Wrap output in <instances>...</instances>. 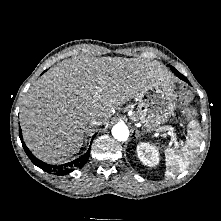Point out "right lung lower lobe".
Masks as SVG:
<instances>
[{
    "instance_id": "98d812e1",
    "label": "right lung lower lobe",
    "mask_w": 221,
    "mask_h": 221,
    "mask_svg": "<svg viewBox=\"0 0 221 221\" xmlns=\"http://www.w3.org/2000/svg\"><path fill=\"white\" fill-rule=\"evenodd\" d=\"M19 137L22 142L24 151L26 152V154L30 158V160L36 166H38L39 168H41L42 170H44L48 173H52V174H56V175H66L69 172H72L74 169L81 168L85 164L87 159L89 158L90 149H88V151L84 155H82L80 158H77V159H75L65 165H60V166L50 165V164H47V163L37 159L31 153V151L28 149V147L25 145V143L23 141L22 132H21L20 128H19Z\"/></svg>"
}]
</instances>
